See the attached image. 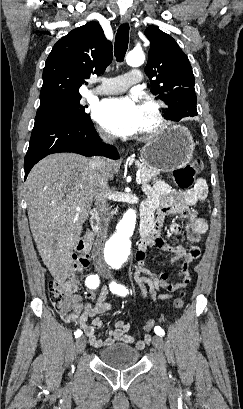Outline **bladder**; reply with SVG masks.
Returning a JSON list of instances; mask_svg holds the SVG:
<instances>
[{"label":"bladder","instance_id":"obj_1","mask_svg":"<svg viewBox=\"0 0 243 409\" xmlns=\"http://www.w3.org/2000/svg\"><path fill=\"white\" fill-rule=\"evenodd\" d=\"M98 358L109 367L123 369L134 366L139 361L140 352L130 345L117 343L102 348Z\"/></svg>","mask_w":243,"mask_h":409}]
</instances>
